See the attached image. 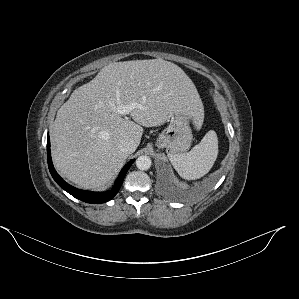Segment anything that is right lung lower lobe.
I'll return each instance as SVG.
<instances>
[{"instance_id":"obj_1","label":"right lung lower lobe","mask_w":299,"mask_h":299,"mask_svg":"<svg viewBox=\"0 0 299 299\" xmlns=\"http://www.w3.org/2000/svg\"><path fill=\"white\" fill-rule=\"evenodd\" d=\"M47 158H48L49 171H50L53 179L57 182V184L61 188H63L65 191H67L69 194L74 196L75 198H77L81 201H84L87 203H93V204L105 203V202L111 200L117 194V192L119 191V189L122 185L123 179H124L128 169L134 162V159H133L124 166V168L120 172V174L115 182L113 189H111L110 191H106V192H92V191L80 190V189H77V188L69 185L57 174V172L55 171V169L53 167L52 160H51L49 136L47 137Z\"/></svg>"}]
</instances>
